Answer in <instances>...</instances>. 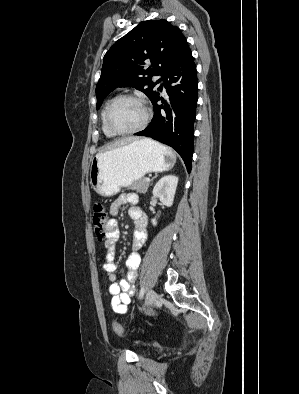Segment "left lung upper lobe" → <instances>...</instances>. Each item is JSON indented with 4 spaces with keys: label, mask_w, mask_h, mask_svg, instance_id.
I'll return each instance as SVG.
<instances>
[{
    "label": "left lung upper lobe",
    "mask_w": 299,
    "mask_h": 394,
    "mask_svg": "<svg viewBox=\"0 0 299 394\" xmlns=\"http://www.w3.org/2000/svg\"><path fill=\"white\" fill-rule=\"evenodd\" d=\"M186 45V38L180 29L166 20H147L138 24L104 56L96 86V109L119 86L134 87L152 100L157 92L155 84L158 81L152 82L151 77L162 75ZM145 60L151 62L147 70L142 66Z\"/></svg>",
    "instance_id": "left-lung-upper-lobe-1"
}]
</instances>
